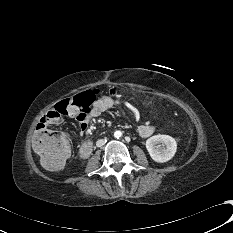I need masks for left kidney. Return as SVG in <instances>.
<instances>
[{"instance_id":"obj_1","label":"left kidney","mask_w":233,"mask_h":233,"mask_svg":"<svg viewBox=\"0 0 233 233\" xmlns=\"http://www.w3.org/2000/svg\"><path fill=\"white\" fill-rule=\"evenodd\" d=\"M163 144L162 147L156 146ZM146 148L151 158L158 163H164L173 158L177 150L176 140L169 135H154L147 139Z\"/></svg>"}]
</instances>
